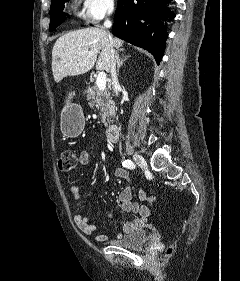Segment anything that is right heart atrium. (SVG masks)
I'll return each mask as SVG.
<instances>
[{"mask_svg": "<svg viewBox=\"0 0 240 281\" xmlns=\"http://www.w3.org/2000/svg\"><path fill=\"white\" fill-rule=\"evenodd\" d=\"M114 9V0H83L81 6V15L87 21L96 23L110 16Z\"/></svg>", "mask_w": 240, "mask_h": 281, "instance_id": "obj_1", "label": "right heart atrium"}]
</instances>
